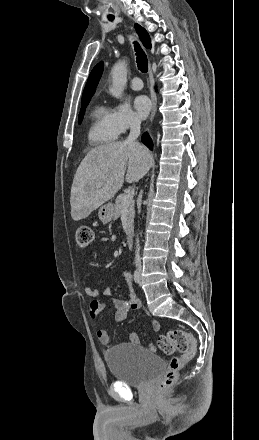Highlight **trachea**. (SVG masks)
Wrapping results in <instances>:
<instances>
[{
	"instance_id": "3493384b",
	"label": "trachea",
	"mask_w": 259,
	"mask_h": 440,
	"mask_svg": "<svg viewBox=\"0 0 259 440\" xmlns=\"http://www.w3.org/2000/svg\"><path fill=\"white\" fill-rule=\"evenodd\" d=\"M109 20L112 21L113 19H109ZM134 46L137 55V60H136L137 67L142 73H146L148 71L147 56L137 42H134Z\"/></svg>"
}]
</instances>
